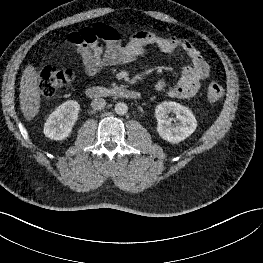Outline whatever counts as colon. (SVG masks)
I'll use <instances>...</instances> for the list:
<instances>
[{
    "instance_id": "1",
    "label": "colon",
    "mask_w": 263,
    "mask_h": 263,
    "mask_svg": "<svg viewBox=\"0 0 263 263\" xmlns=\"http://www.w3.org/2000/svg\"><path fill=\"white\" fill-rule=\"evenodd\" d=\"M71 69H58L53 66L43 68L39 73V90L43 96L49 97L67 85L73 79ZM224 95L223 87L218 83H211L207 88V99L210 102L219 101Z\"/></svg>"
}]
</instances>
